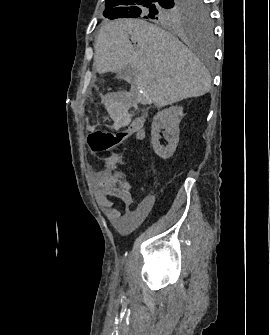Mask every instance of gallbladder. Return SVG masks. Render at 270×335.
<instances>
[{
    "label": "gallbladder",
    "instance_id": "obj_1",
    "mask_svg": "<svg viewBox=\"0 0 270 335\" xmlns=\"http://www.w3.org/2000/svg\"><path fill=\"white\" fill-rule=\"evenodd\" d=\"M135 76V72L131 66H127V68H124V70H120V72H117V78H122V80H126V82H133V78Z\"/></svg>",
    "mask_w": 270,
    "mask_h": 335
}]
</instances>
